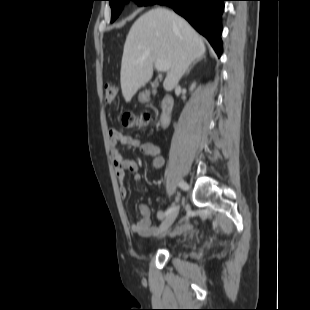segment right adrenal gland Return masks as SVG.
<instances>
[{"label": "right adrenal gland", "instance_id": "right-adrenal-gland-1", "mask_svg": "<svg viewBox=\"0 0 310 310\" xmlns=\"http://www.w3.org/2000/svg\"><path fill=\"white\" fill-rule=\"evenodd\" d=\"M200 61V59H197L195 61L192 62V64L190 65V67L187 69L186 71V75L189 74L190 70L192 69V67L198 62Z\"/></svg>", "mask_w": 310, "mask_h": 310}]
</instances>
